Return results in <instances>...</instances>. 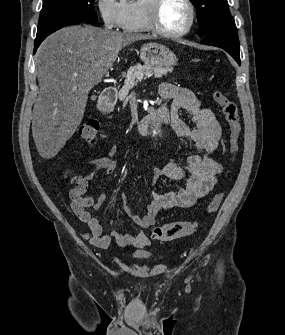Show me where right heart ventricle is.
Instances as JSON below:
<instances>
[{"label": "right heart ventricle", "mask_w": 285, "mask_h": 335, "mask_svg": "<svg viewBox=\"0 0 285 335\" xmlns=\"http://www.w3.org/2000/svg\"><path fill=\"white\" fill-rule=\"evenodd\" d=\"M131 10V15L126 17L123 27L132 32L151 31L149 21L150 2L149 1H129L126 3ZM162 60H172L164 58Z\"/></svg>", "instance_id": "obj_1"}]
</instances>
